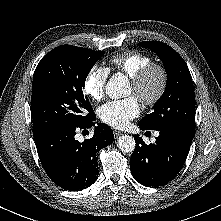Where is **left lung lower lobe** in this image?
<instances>
[{
  "label": "left lung lower lobe",
  "instance_id": "obj_1",
  "mask_svg": "<svg viewBox=\"0 0 221 221\" xmlns=\"http://www.w3.org/2000/svg\"><path fill=\"white\" fill-rule=\"evenodd\" d=\"M141 130H149L139 124ZM155 144L146 145L133 135L136 147L130 158L133 177L147 187H158L172 181L186 161L195 132L178 126L157 129Z\"/></svg>",
  "mask_w": 221,
  "mask_h": 221
}]
</instances>
